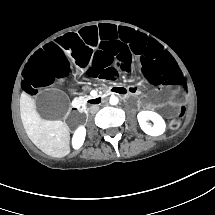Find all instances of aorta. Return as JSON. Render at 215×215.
Returning <instances> with one entry per match:
<instances>
[{"mask_svg": "<svg viewBox=\"0 0 215 215\" xmlns=\"http://www.w3.org/2000/svg\"><path fill=\"white\" fill-rule=\"evenodd\" d=\"M118 102H119V98L117 96H115V95L111 96L110 104L116 105V104H118Z\"/></svg>", "mask_w": 215, "mask_h": 215, "instance_id": "obj_1", "label": "aorta"}]
</instances>
